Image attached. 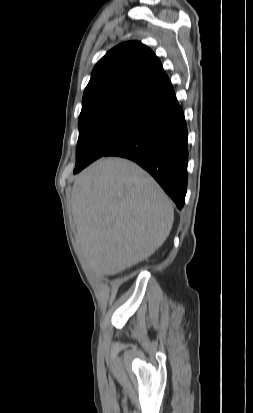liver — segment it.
Here are the masks:
<instances>
[{
	"instance_id": "obj_1",
	"label": "liver",
	"mask_w": 253,
	"mask_h": 413,
	"mask_svg": "<svg viewBox=\"0 0 253 413\" xmlns=\"http://www.w3.org/2000/svg\"><path fill=\"white\" fill-rule=\"evenodd\" d=\"M76 242L90 270L115 275L149 258L168 237L172 202L134 162L102 158L73 184Z\"/></svg>"
}]
</instances>
